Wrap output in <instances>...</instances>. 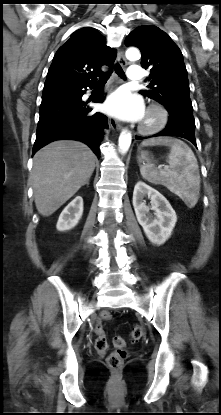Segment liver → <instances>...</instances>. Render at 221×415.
I'll list each match as a JSON object with an SVG mask.
<instances>
[{
	"label": "liver",
	"mask_w": 221,
	"mask_h": 415,
	"mask_svg": "<svg viewBox=\"0 0 221 415\" xmlns=\"http://www.w3.org/2000/svg\"><path fill=\"white\" fill-rule=\"evenodd\" d=\"M96 156L85 144L60 140L40 149L31 173L35 205L42 216L52 215L92 175Z\"/></svg>",
	"instance_id": "1"
}]
</instances>
